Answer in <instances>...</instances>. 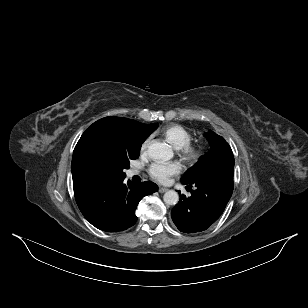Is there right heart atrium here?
<instances>
[{"mask_svg":"<svg viewBox=\"0 0 308 308\" xmlns=\"http://www.w3.org/2000/svg\"><path fill=\"white\" fill-rule=\"evenodd\" d=\"M148 143H149V139H146L142 145H141V152L144 153L147 149V146H148Z\"/></svg>","mask_w":308,"mask_h":308,"instance_id":"obj_1","label":"right heart atrium"}]
</instances>
